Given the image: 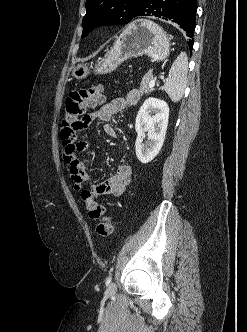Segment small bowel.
Masks as SVG:
<instances>
[{
    "label": "small bowel",
    "mask_w": 247,
    "mask_h": 332,
    "mask_svg": "<svg viewBox=\"0 0 247 332\" xmlns=\"http://www.w3.org/2000/svg\"><path fill=\"white\" fill-rule=\"evenodd\" d=\"M138 100L139 92L135 89L130 90L124 96L115 98L97 111L87 115L86 124L93 120L104 122V132L108 136L116 138L117 133L110 124L111 120L119 112L136 105ZM63 143V158L67 165L73 188L76 191H83L84 185L89 179V175L77 154L83 152L88 147V143L85 141H77L74 134L67 141L63 140ZM131 176L132 168L129 165L121 164L117 166L115 174L109 180L92 186L88 190L92 193L94 198L98 196L119 197L129 185Z\"/></svg>",
    "instance_id": "obj_1"
}]
</instances>
